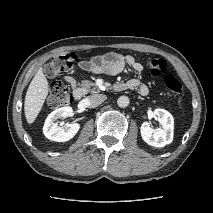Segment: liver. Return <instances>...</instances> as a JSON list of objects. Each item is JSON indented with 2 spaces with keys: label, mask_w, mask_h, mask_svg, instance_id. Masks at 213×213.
I'll list each match as a JSON object with an SVG mask.
<instances>
[{
  "label": "liver",
  "mask_w": 213,
  "mask_h": 213,
  "mask_svg": "<svg viewBox=\"0 0 213 213\" xmlns=\"http://www.w3.org/2000/svg\"><path fill=\"white\" fill-rule=\"evenodd\" d=\"M48 91L47 78L43 73V69L40 68L32 79L25 96L24 112L29 124H32L37 118L48 95Z\"/></svg>",
  "instance_id": "1"
}]
</instances>
